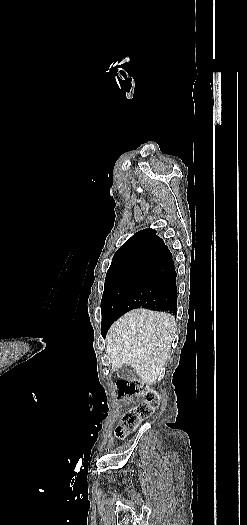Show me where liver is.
<instances>
[{
    "instance_id": "1",
    "label": "liver",
    "mask_w": 247,
    "mask_h": 525,
    "mask_svg": "<svg viewBox=\"0 0 247 525\" xmlns=\"http://www.w3.org/2000/svg\"><path fill=\"white\" fill-rule=\"evenodd\" d=\"M176 321L169 313L133 309L111 325L105 339L112 371L128 365L146 385L165 375L175 339Z\"/></svg>"
}]
</instances>
